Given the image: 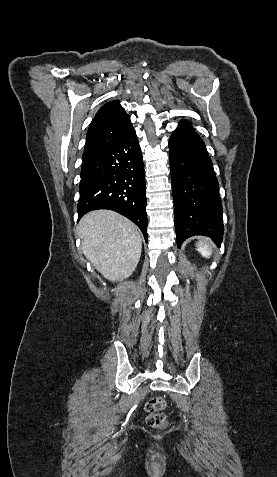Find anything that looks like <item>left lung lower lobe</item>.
Instances as JSON below:
<instances>
[{
    "label": "left lung lower lobe",
    "mask_w": 277,
    "mask_h": 477,
    "mask_svg": "<svg viewBox=\"0 0 277 477\" xmlns=\"http://www.w3.org/2000/svg\"><path fill=\"white\" fill-rule=\"evenodd\" d=\"M177 245L194 235L223 238L222 204L213 164L200 136L183 120L169 140Z\"/></svg>",
    "instance_id": "left-lung-lower-lobe-1"
}]
</instances>
